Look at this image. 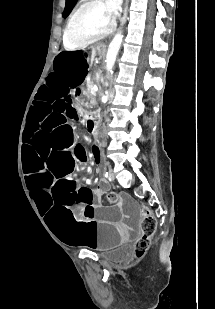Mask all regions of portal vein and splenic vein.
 I'll list each match as a JSON object with an SVG mask.
<instances>
[{
  "mask_svg": "<svg viewBox=\"0 0 215 309\" xmlns=\"http://www.w3.org/2000/svg\"><path fill=\"white\" fill-rule=\"evenodd\" d=\"M96 90H98V86H93L91 90L92 94H95Z\"/></svg>",
  "mask_w": 215,
  "mask_h": 309,
  "instance_id": "1",
  "label": "portal vein and splenic vein"
}]
</instances>
